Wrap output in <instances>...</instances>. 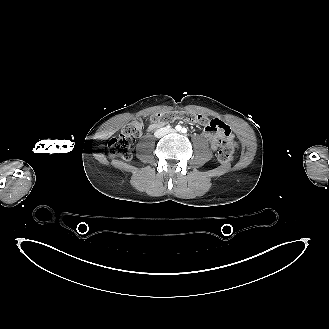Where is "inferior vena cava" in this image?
<instances>
[{
	"label": "inferior vena cava",
	"instance_id": "obj_1",
	"mask_svg": "<svg viewBox=\"0 0 329 329\" xmlns=\"http://www.w3.org/2000/svg\"><path fill=\"white\" fill-rule=\"evenodd\" d=\"M166 133H167V129H166V128H161V129H159L158 131H156L155 136H156L157 138H160V137H162L163 135H165Z\"/></svg>",
	"mask_w": 329,
	"mask_h": 329
}]
</instances>
